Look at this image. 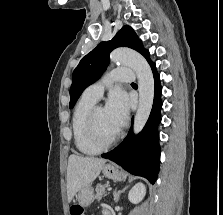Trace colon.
<instances>
[{
	"label": "colon",
	"mask_w": 223,
	"mask_h": 215,
	"mask_svg": "<svg viewBox=\"0 0 223 215\" xmlns=\"http://www.w3.org/2000/svg\"><path fill=\"white\" fill-rule=\"evenodd\" d=\"M72 215H81L82 214V208L79 205H74L71 207L70 210Z\"/></svg>",
	"instance_id": "colon-1"
}]
</instances>
